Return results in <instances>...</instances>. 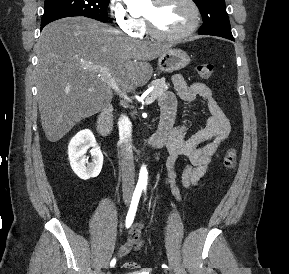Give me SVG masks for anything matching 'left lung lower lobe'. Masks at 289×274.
I'll list each match as a JSON object with an SVG mask.
<instances>
[{
  "label": "left lung lower lobe",
  "mask_w": 289,
  "mask_h": 274,
  "mask_svg": "<svg viewBox=\"0 0 289 274\" xmlns=\"http://www.w3.org/2000/svg\"><path fill=\"white\" fill-rule=\"evenodd\" d=\"M224 38H227V39H229V40L234 41V38H233V37H224Z\"/></svg>",
  "instance_id": "0a47b994"
}]
</instances>
